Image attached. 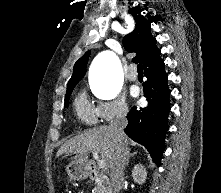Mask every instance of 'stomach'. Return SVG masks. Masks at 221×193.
I'll use <instances>...</instances> for the list:
<instances>
[{
  "label": "stomach",
  "mask_w": 221,
  "mask_h": 193,
  "mask_svg": "<svg viewBox=\"0 0 221 193\" xmlns=\"http://www.w3.org/2000/svg\"><path fill=\"white\" fill-rule=\"evenodd\" d=\"M66 172L70 180H82L87 177L88 170L84 163L71 162L66 167Z\"/></svg>",
  "instance_id": "0dacf381"
}]
</instances>
